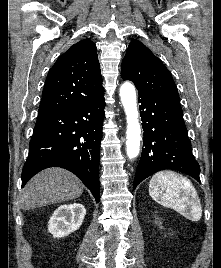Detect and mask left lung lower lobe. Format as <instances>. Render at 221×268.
Segmentation results:
<instances>
[{
    "label": "left lung lower lobe",
    "mask_w": 221,
    "mask_h": 268,
    "mask_svg": "<svg viewBox=\"0 0 221 268\" xmlns=\"http://www.w3.org/2000/svg\"><path fill=\"white\" fill-rule=\"evenodd\" d=\"M144 130L141 158L133 189L153 173L178 170L198 182L200 167L191 149L179 99L138 92Z\"/></svg>",
    "instance_id": "1"
}]
</instances>
